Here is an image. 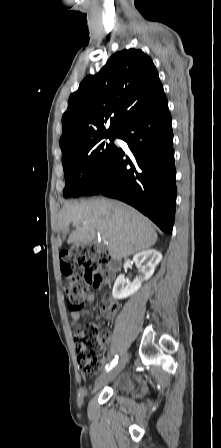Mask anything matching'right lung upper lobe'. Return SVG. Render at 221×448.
<instances>
[{"instance_id":"obj_1","label":"right lung upper lobe","mask_w":221,"mask_h":448,"mask_svg":"<svg viewBox=\"0 0 221 448\" xmlns=\"http://www.w3.org/2000/svg\"><path fill=\"white\" fill-rule=\"evenodd\" d=\"M164 95L148 55L139 49L117 52L70 95L62 117V159L92 140L118 134L131 117Z\"/></svg>"}]
</instances>
